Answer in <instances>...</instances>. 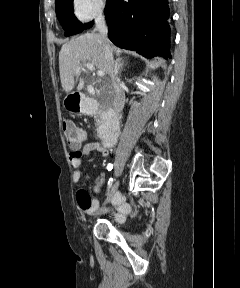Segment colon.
I'll return each instance as SVG.
<instances>
[{
  "mask_svg": "<svg viewBox=\"0 0 240 288\" xmlns=\"http://www.w3.org/2000/svg\"><path fill=\"white\" fill-rule=\"evenodd\" d=\"M63 131L70 147L81 145L84 134L71 121L63 122Z\"/></svg>",
  "mask_w": 240,
  "mask_h": 288,
  "instance_id": "5ec220e1",
  "label": "colon"
}]
</instances>
